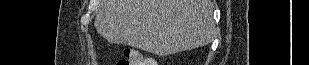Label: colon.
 Listing matches in <instances>:
<instances>
[{
  "mask_svg": "<svg viewBox=\"0 0 309 65\" xmlns=\"http://www.w3.org/2000/svg\"><path fill=\"white\" fill-rule=\"evenodd\" d=\"M144 55L137 50H127L124 57L119 60L118 65H153L154 63H146Z\"/></svg>",
  "mask_w": 309,
  "mask_h": 65,
  "instance_id": "obj_1",
  "label": "colon"
}]
</instances>
